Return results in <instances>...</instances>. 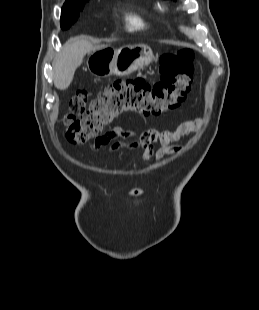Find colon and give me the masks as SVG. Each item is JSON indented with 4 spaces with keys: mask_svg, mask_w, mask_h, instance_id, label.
<instances>
[{
    "mask_svg": "<svg viewBox=\"0 0 259 310\" xmlns=\"http://www.w3.org/2000/svg\"><path fill=\"white\" fill-rule=\"evenodd\" d=\"M194 54L190 49L168 51L161 55V79L150 83L143 78L117 80L106 86L89 103L85 90L70 99L65 117V137L84 144L98 137L104 127L126 112L159 116L179 107L191 88Z\"/></svg>",
    "mask_w": 259,
    "mask_h": 310,
    "instance_id": "colon-1",
    "label": "colon"
}]
</instances>
